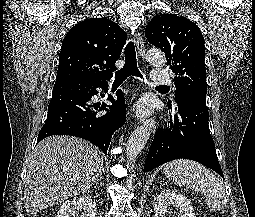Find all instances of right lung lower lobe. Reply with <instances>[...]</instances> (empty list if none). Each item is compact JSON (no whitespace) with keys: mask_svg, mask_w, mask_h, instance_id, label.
<instances>
[{"mask_svg":"<svg viewBox=\"0 0 255 217\" xmlns=\"http://www.w3.org/2000/svg\"><path fill=\"white\" fill-rule=\"evenodd\" d=\"M107 90V82H60L53 87V96L48 106V115L41 128L37 142L52 135H71L90 141L107 153L112 134L126 120L125 99L121 90L117 100L109 97L112 105L101 106L89 103L97 95V88ZM107 111L100 114L95 110Z\"/></svg>","mask_w":255,"mask_h":217,"instance_id":"right-lung-lower-lobe-1","label":"right lung lower lobe"}]
</instances>
